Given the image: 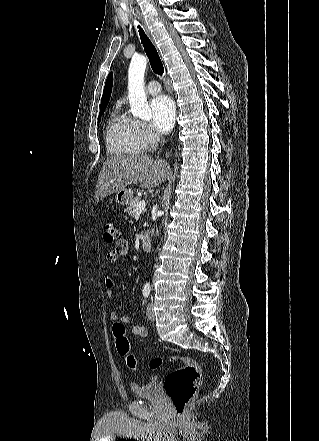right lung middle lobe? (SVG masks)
Returning a JSON list of instances; mask_svg holds the SVG:
<instances>
[{
    "label": "right lung middle lobe",
    "mask_w": 319,
    "mask_h": 441,
    "mask_svg": "<svg viewBox=\"0 0 319 441\" xmlns=\"http://www.w3.org/2000/svg\"><path fill=\"white\" fill-rule=\"evenodd\" d=\"M106 106L100 108V116H99V121L101 119V115L104 113Z\"/></svg>",
    "instance_id": "dd1d6c3e"
}]
</instances>
